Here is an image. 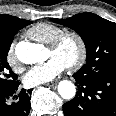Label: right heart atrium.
<instances>
[{"label": "right heart atrium", "mask_w": 116, "mask_h": 116, "mask_svg": "<svg viewBox=\"0 0 116 116\" xmlns=\"http://www.w3.org/2000/svg\"><path fill=\"white\" fill-rule=\"evenodd\" d=\"M5 61L7 65L15 72H21L23 70V66L16 54L15 43L12 42L9 44L6 54Z\"/></svg>", "instance_id": "d8ad5b80"}]
</instances>
